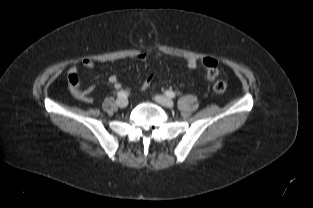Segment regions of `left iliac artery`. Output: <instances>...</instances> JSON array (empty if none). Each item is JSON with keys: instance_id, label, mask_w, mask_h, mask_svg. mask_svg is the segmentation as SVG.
<instances>
[{"instance_id": "44dca946", "label": "left iliac artery", "mask_w": 313, "mask_h": 208, "mask_svg": "<svg viewBox=\"0 0 313 208\" xmlns=\"http://www.w3.org/2000/svg\"><path fill=\"white\" fill-rule=\"evenodd\" d=\"M165 95L169 98H174L175 97V93L171 90H167L165 91Z\"/></svg>"}]
</instances>
